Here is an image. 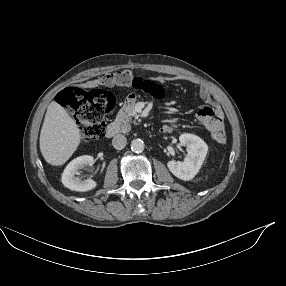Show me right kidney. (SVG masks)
<instances>
[{
	"instance_id": "1",
	"label": "right kidney",
	"mask_w": 286,
	"mask_h": 286,
	"mask_svg": "<svg viewBox=\"0 0 286 286\" xmlns=\"http://www.w3.org/2000/svg\"><path fill=\"white\" fill-rule=\"evenodd\" d=\"M94 158L89 155H83L72 160L65 168L62 174V183L68 189L85 192L94 189L97 183L92 179L81 180L75 177L78 169L84 166H92Z\"/></svg>"
}]
</instances>
